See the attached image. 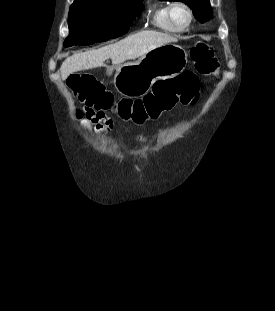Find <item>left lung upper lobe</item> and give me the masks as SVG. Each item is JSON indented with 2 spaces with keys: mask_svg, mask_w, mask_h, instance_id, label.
Instances as JSON below:
<instances>
[{
  "mask_svg": "<svg viewBox=\"0 0 275 311\" xmlns=\"http://www.w3.org/2000/svg\"><path fill=\"white\" fill-rule=\"evenodd\" d=\"M187 4L193 11L194 17L204 23L212 17V9L209 0H174Z\"/></svg>",
  "mask_w": 275,
  "mask_h": 311,
  "instance_id": "1",
  "label": "left lung upper lobe"
}]
</instances>
